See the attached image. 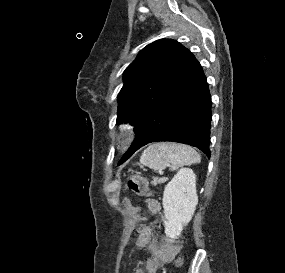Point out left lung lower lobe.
Returning <instances> with one entry per match:
<instances>
[{"label":"left lung lower lobe","instance_id":"left-lung-lower-lobe-1","mask_svg":"<svg viewBox=\"0 0 285 273\" xmlns=\"http://www.w3.org/2000/svg\"><path fill=\"white\" fill-rule=\"evenodd\" d=\"M211 96L200 63L191 53L168 92L135 125L136 138L118 165L156 141L190 144L210 158Z\"/></svg>","mask_w":285,"mask_h":273}]
</instances>
